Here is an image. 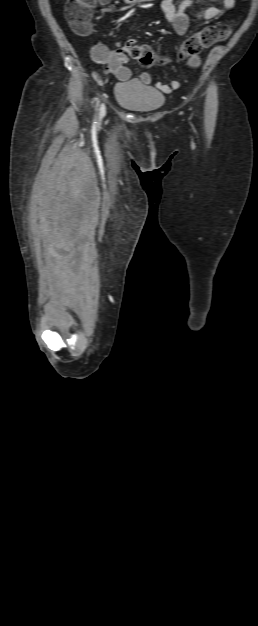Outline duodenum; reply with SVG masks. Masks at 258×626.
I'll return each instance as SVG.
<instances>
[{
	"mask_svg": "<svg viewBox=\"0 0 258 626\" xmlns=\"http://www.w3.org/2000/svg\"><path fill=\"white\" fill-rule=\"evenodd\" d=\"M125 3H138V2H146L151 0H123Z\"/></svg>",
	"mask_w": 258,
	"mask_h": 626,
	"instance_id": "410a0bca",
	"label": "duodenum"
}]
</instances>
